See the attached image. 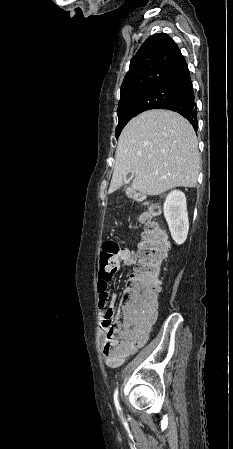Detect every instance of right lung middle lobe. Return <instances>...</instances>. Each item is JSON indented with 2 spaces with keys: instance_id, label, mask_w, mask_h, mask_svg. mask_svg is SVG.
Masks as SVG:
<instances>
[{
  "instance_id": "dd1d6c3e",
  "label": "right lung middle lobe",
  "mask_w": 233,
  "mask_h": 449,
  "mask_svg": "<svg viewBox=\"0 0 233 449\" xmlns=\"http://www.w3.org/2000/svg\"><path fill=\"white\" fill-rule=\"evenodd\" d=\"M181 95L180 89L172 86H152L122 96L117 109L118 125L115 136L118 138L130 119L141 112L156 109L162 104Z\"/></svg>"
}]
</instances>
